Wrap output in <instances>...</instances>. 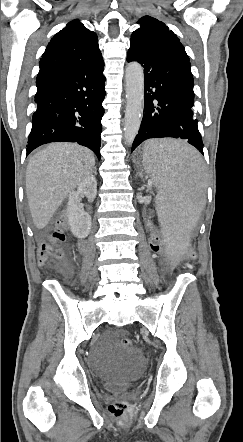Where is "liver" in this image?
<instances>
[{
    "mask_svg": "<svg viewBox=\"0 0 243 442\" xmlns=\"http://www.w3.org/2000/svg\"><path fill=\"white\" fill-rule=\"evenodd\" d=\"M94 165V154L76 143H51L31 157L26 194L37 229L47 226L66 197L91 175Z\"/></svg>",
    "mask_w": 243,
    "mask_h": 442,
    "instance_id": "1",
    "label": "liver"
}]
</instances>
